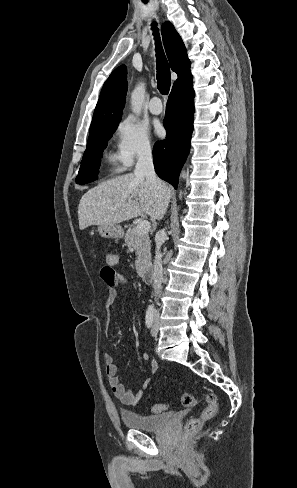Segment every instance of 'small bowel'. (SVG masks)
<instances>
[{
	"label": "small bowel",
	"mask_w": 297,
	"mask_h": 488,
	"mask_svg": "<svg viewBox=\"0 0 297 488\" xmlns=\"http://www.w3.org/2000/svg\"><path fill=\"white\" fill-rule=\"evenodd\" d=\"M104 261L106 264L110 266H114L117 264V256L113 253H108L104 257ZM127 285V278L121 272H115V279L112 285L108 286V293L106 298V305L111 307L118 298V289L123 288ZM142 358L146 361L149 360V356L144 354ZM104 364H105V372L107 375V379L111 390L113 391L114 395L125 405L134 406L136 405L142 398L145 389L149 386L151 382V378L147 377L143 383L141 388L134 392L131 389L127 388L123 383H121L118 377V367L114 361L113 356L110 353H105L103 356ZM150 373L154 374L158 370V362L155 359L150 360Z\"/></svg>",
	"instance_id": "obj_1"
}]
</instances>
